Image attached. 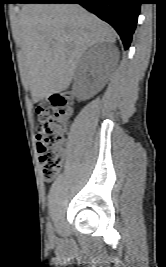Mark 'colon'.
Listing matches in <instances>:
<instances>
[{
	"mask_svg": "<svg viewBox=\"0 0 166 267\" xmlns=\"http://www.w3.org/2000/svg\"><path fill=\"white\" fill-rule=\"evenodd\" d=\"M74 111V98L70 92L54 94L36 108L38 116V151L42 173L52 180L62 167L66 127Z\"/></svg>",
	"mask_w": 166,
	"mask_h": 267,
	"instance_id": "1",
	"label": "colon"
}]
</instances>
